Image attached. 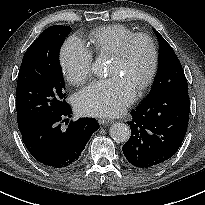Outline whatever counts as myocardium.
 Here are the masks:
<instances>
[{"mask_svg":"<svg viewBox=\"0 0 205 205\" xmlns=\"http://www.w3.org/2000/svg\"><path fill=\"white\" fill-rule=\"evenodd\" d=\"M137 40L145 41L149 46L150 54H151V61H150V67L148 73L144 78V80L137 87L139 91H143L152 83L158 68L159 55H158V49L156 43L153 40V38L145 33H135L123 41V43L116 51V53L112 56V58L115 61L123 60L127 56L132 44Z\"/></svg>","mask_w":205,"mask_h":205,"instance_id":"1","label":"myocardium"}]
</instances>
